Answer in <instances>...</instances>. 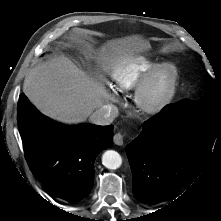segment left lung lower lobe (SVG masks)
<instances>
[{
  "mask_svg": "<svg viewBox=\"0 0 221 221\" xmlns=\"http://www.w3.org/2000/svg\"><path fill=\"white\" fill-rule=\"evenodd\" d=\"M183 101L144 122L141 134L126 147L133 194L143 203H159L178 193L203 170L215 141L221 140V124L178 116Z\"/></svg>",
  "mask_w": 221,
  "mask_h": 221,
  "instance_id": "0a47b994",
  "label": "left lung lower lobe"
}]
</instances>
